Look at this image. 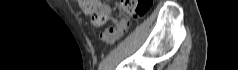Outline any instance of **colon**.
Segmentation results:
<instances>
[{"label": "colon", "instance_id": "colon-1", "mask_svg": "<svg viewBox=\"0 0 238 70\" xmlns=\"http://www.w3.org/2000/svg\"><path fill=\"white\" fill-rule=\"evenodd\" d=\"M78 2L95 26H102L107 21L105 15L96 7L93 0H78ZM151 5V0H122L124 11L129 17L134 19L143 16Z\"/></svg>", "mask_w": 238, "mask_h": 70}]
</instances>
